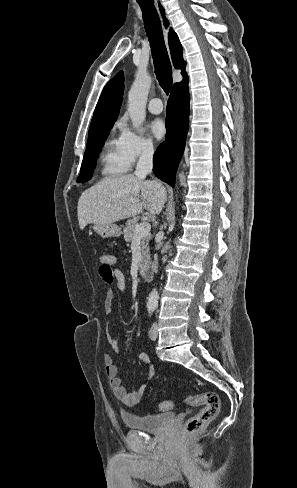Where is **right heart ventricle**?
I'll use <instances>...</instances> for the list:
<instances>
[{"mask_svg": "<svg viewBox=\"0 0 297 488\" xmlns=\"http://www.w3.org/2000/svg\"><path fill=\"white\" fill-rule=\"evenodd\" d=\"M101 172L106 176H115L128 170V164L125 161L120 147L119 138L109 139L101 153Z\"/></svg>", "mask_w": 297, "mask_h": 488, "instance_id": "1", "label": "right heart ventricle"}]
</instances>
